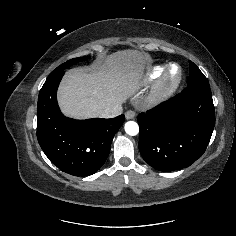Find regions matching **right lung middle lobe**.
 <instances>
[{
	"label": "right lung middle lobe",
	"mask_w": 236,
	"mask_h": 236,
	"mask_svg": "<svg viewBox=\"0 0 236 236\" xmlns=\"http://www.w3.org/2000/svg\"><path fill=\"white\" fill-rule=\"evenodd\" d=\"M89 57H79V58H73L67 62H65L64 64H61L60 66H58L55 70H53L49 76H52L60 71H64L66 68L78 63V62H81V61H84L86 59H88Z\"/></svg>",
	"instance_id": "right-lung-middle-lobe-1"
}]
</instances>
